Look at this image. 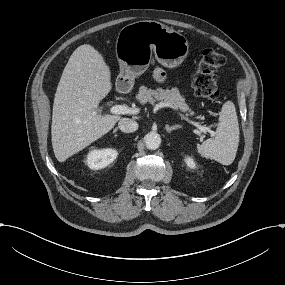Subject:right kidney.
Listing matches in <instances>:
<instances>
[{"label": "right kidney", "mask_w": 285, "mask_h": 285, "mask_svg": "<svg viewBox=\"0 0 285 285\" xmlns=\"http://www.w3.org/2000/svg\"><path fill=\"white\" fill-rule=\"evenodd\" d=\"M118 152L114 149H94L87 154L86 164L90 169L105 168L117 158Z\"/></svg>", "instance_id": "1"}]
</instances>
